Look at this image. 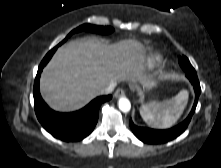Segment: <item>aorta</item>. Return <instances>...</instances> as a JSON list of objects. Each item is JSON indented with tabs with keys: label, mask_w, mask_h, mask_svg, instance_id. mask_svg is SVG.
<instances>
[{
	"label": "aorta",
	"mask_w": 221,
	"mask_h": 168,
	"mask_svg": "<svg viewBox=\"0 0 221 168\" xmlns=\"http://www.w3.org/2000/svg\"><path fill=\"white\" fill-rule=\"evenodd\" d=\"M118 106H119V109L122 111V112H129L130 109H131V103L130 101L125 98V97H122L119 99L118 101Z\"/></svg>",
	"instance_id": "obj_1"
}]
</instances>
